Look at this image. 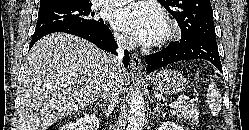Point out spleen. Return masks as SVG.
Masks as SVG:
<instances>
[{
    "label": "spleen",
    "instance_id": "3e777b00",
    "mask_svg": "<svg viewBox=\"0 0 249 130\" xmlns=\"http://www.w3.org/2000/svg\"><path fill=\"white\" fill-rule=\"evenodd\" d=\"M206 102L213 116H217L221 110V95L214 83L209 84Z\"/></svg>",
    "mask_w": 249,
    "mask_h": 130
}]
</instances>
